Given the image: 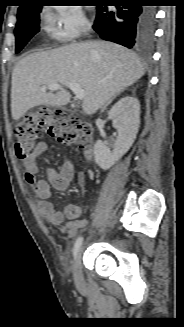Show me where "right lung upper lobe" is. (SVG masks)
<instances>
[{
	"label": "right lung upper lobe",
	"mask_w": 184,
	"mask_h": 327,
	"mask_svg": "<svg viewBox=\"0 0 184 327\" xmlns=\"http://www.w3.org/2000/svg\"><path fill=\"white\" fill-rule=\"evenodd\" d=\"M20 3L21 5L19 6L18 11L38 5V0H20Z\"/></svg>",
	"instance_id": "obj_1"
}]
</instances>
